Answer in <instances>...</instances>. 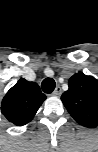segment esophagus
<instances>
[{
  "label": "esophagus",
  "instance_id": "obj_1",
  "mask_svg": "<svg viewBox=\"0 0 98 152\" xmlns=\"http://www.w3.org/2000/svg\"><path fill=\"white\" fill-rule=\"evenodd\" d=\"M61 93H62L61 87L58 85V86L55 88V90H54V92H53V95H54V96H60Z\"/></svg>",
  "mask_w": 98,
  "mask_h": 152
}]
</instances>
